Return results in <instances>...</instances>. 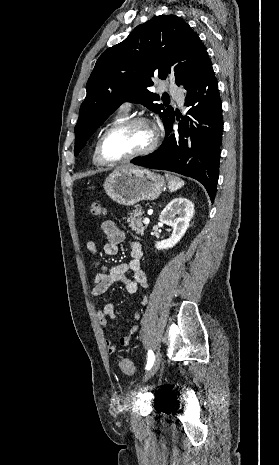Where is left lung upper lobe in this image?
<instances>
[{
	"label": "left lung upper lobe",
	"instance_id": "left-lung-upper-lobe-1",
	"mask_svg": "<svg viewBox=\"0 0 279 465\" xmlns=\"http://www.w3.org/2000/svg\"><path fill=\"white\" fill-rule=\"evenodd\" d=\"M206 48L190 26L175 15L153 17L137 26L121 43L98 58L86 85L75 127L74 155H78L94 131L123 102L141 103L158 113L165 129L174 120L168 104H154L152 77H172L178 86L192 77ZM162 97V100L164 96Z\"/></svg>",
	"mask_w": 279,
	"mask_h": 465
}]
</instances>
